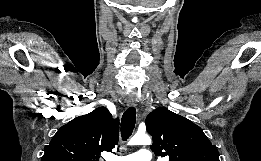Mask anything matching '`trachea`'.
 <instances>
[{"label": "trachea", "mask_w": 261, "mask_h": 161, "mask_svg": "<svg viewBox=\"0 0 261 161\" xmlns=\"http://www.w3.org/2000/svg\"><path fill=\"white\" fill-rule=\"evenodd\" d=\"M136 121V109L134 107H129L123 114L121 120V136L125 141L127 140L135 127Z\"/></svg>", "instance_id": "trachea-1"}]
</instances>
